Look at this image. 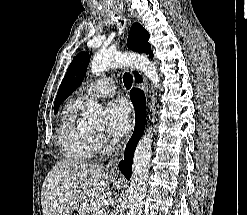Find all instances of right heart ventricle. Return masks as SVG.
I'll list each match as a JSON object with an SVG mask.
<instances>
[{
  "mask_svg": "<svg viewBox=\"0 0 247 215\" xmlns=\"http://www.w3.org/2000/svg\"><path fill=\"white\" fill-rule=\"evenodd\" d=\"M81 106L78 101L65 106L56 136L64 158L71 162L89 161L97 149L94 135L78 125L77 115Z\"/></svg>",
  "mask_w": 247,
  "mask_h": 215,
  "instance_id": "obj_1",
  "label": "right heart ventricle"
}]
</instances>
